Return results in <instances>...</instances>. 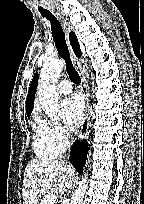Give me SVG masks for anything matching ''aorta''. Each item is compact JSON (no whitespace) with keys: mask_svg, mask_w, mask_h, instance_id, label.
Wrapping results in <instances>:
<instances>
[{"mask_svg":"<svg viewBox=\"0 0 144 204\" xmlns=\"http://www.w3.org/2000/svg\"><path fill=\"white\" fill-rule=\"evenodd\" d=\"M64 67V61L55 59L43 64L39 81V102L44 112L51 118L56 119L58 113L57 81ZM88 188V174L85 173L72 196L70 204H82Z\"/></svg>","mask_w":144,"mask_h":204,"instance_id":"aorta-1","label":"aorta"}]
</instances>
